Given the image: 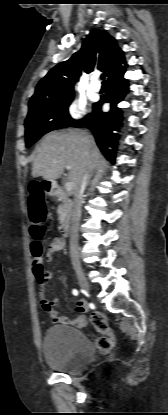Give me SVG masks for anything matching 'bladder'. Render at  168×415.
<instances>
[{
	"mask_svg": "<svg viewBox=\"0 0 168 415\" xmlns=\"http://www.w3.org/2000/svg\"><path fill=\"white\" fill-rule=\"evenodd\" d=\"M44 359L49 367L66 374H79L93 361L95 349L86 335L67 325H54L43 338Z\"/></svg>",
	"mask_w": 168,
	"mask_h": 415,
	"instance_id": "bladder-1",
	"label": "bladder"
}]
</instances>
